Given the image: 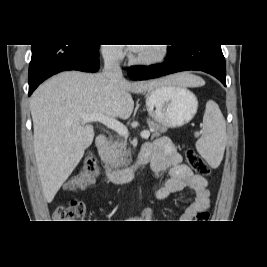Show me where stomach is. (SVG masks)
<instances>
[{
    "label": "stomach",
    "instance_id": "1",
    "mask_svg": "<svg viewBox=\"0 0 267 267\" xmlns=\"http://www.w3.org/2000/svg\"><path fill=\"white\" fill-rule=\"evenodd\" d=\"M147 111L157 123L166 127H181L190 122L198 108L197 97L187 87L162 85L148 90Z\"/></svg>",
    "mask_w": 267,
    "mask_h": 267
}]
</instances>
